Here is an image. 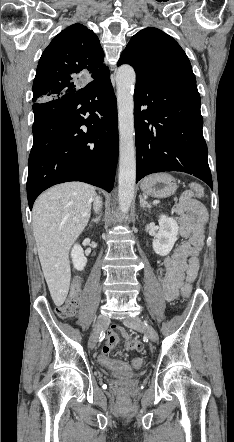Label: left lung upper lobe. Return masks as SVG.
Instances as JSON below:
<instances>
[{
  "mask_svg": "<svg viewBox=\"0 0 234 442\" xmlns=\"http://www.w3.org/2000/svg\"><path fill=\"white\" fill-rule=\"evenodd\" d=\"M130 64L136 80L180 81L196 84L190 61L180 45L157 28L135 34L117 65Z\"/></svg>",
  "mask_w": 234,
  "mask_h": 442,
  "instance_id": "left-lung-upper-lobe-1",
  "label": "left lung upper lobe"
}]
</instances>
